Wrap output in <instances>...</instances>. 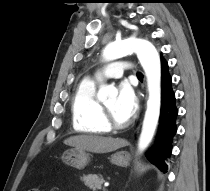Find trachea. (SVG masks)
<instances>
[{
  "label": "trachea",
  "mask_w": 210,
  "mask_h": 191,
  "mask_svg": "<svg viewBox=\"0 0 210 191\" xmlns=\"http://www.w3.org/2000/svg\"><path fill=\"white\" fill-rule=\"evenodd\" d=\"M137 76L138 77H143L142 73H140V72L137 73Z\"/></svg>",
  "instance_id": "3493384b"
}]
</instances>
